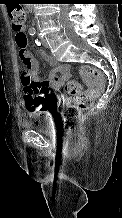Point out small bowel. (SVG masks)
Returning a JSON list of instances; mask_svg holds the SVG:
<instances>
[{
    "label": "small bowel",
    "mask_w": 122,
    "mask_h": 218,
    "mask_svg": "<svg viewBox=\"0 0 122 218\" xmlns=\"http://www.w3.org/2000/svg\"><path fill=\"white\" fill-rule=\"evenodd\" d=\"M25 31V28L22 29ZM28 60L25 61L27 70L31 76L32 82L37 85L38 89L34 93V100L37 105H40L43 109L47 105L46 100V88L51 87L54 91L59 92L66 80L71 76V69L68 65L60 64L56 59H54L49 54L42 52L41 57L49 65L53 67V72L51 73L49 80H41L38 76V62L37 60L28 52ZM25 98V94H23ZM61 100L64 102H69V99L65 96H61Z\"/></svg>",
    "instance_id": "obj_1"
}]
</instances>
